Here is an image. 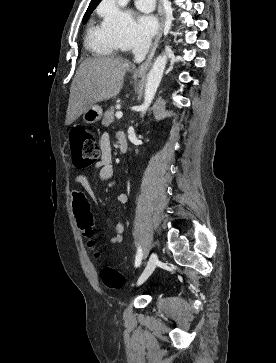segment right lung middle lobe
<instances>
[{"mask_svg":"<svg viewBox=\"0 0 276 363\" xmlns=\"http://www.w3.org/2000/svg\"><path fill=\"white\" fill-rule=\"evenodd\" d=\"M95 9V6H93V7H89L88 9H87V11H86V13H85V15H84V17H83V23H86L87 22V20H88V18H89V16L91 15V13L93 12V10Z\"/></svg>","mask_w":276,"mask_h":363,"instance_id":"obj_1","label":"right lung middle lobe"}]
</instances>
